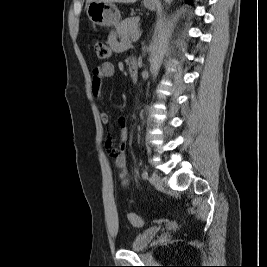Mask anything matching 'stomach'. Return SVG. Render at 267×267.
I'll return each mask as SVG.
<instances>
[{"instance_id": "stomach-1", "label": "stomach", "mask_w": 267, "mask_h": 267, "mask_svg": "<svg viewBox=\"0 0 267 267\" xmlns=\"http://www.w3.org/2000/svg\"><path fill=\"white\" fill-rule=\"evenodd\" d=\"M156 4V0H144V5L149 10H154ZM86 13L89 20L100 27L118 26L121 18L120 11L115 4L101 0L89 2Z\"/></svg>"}]
</instances>
